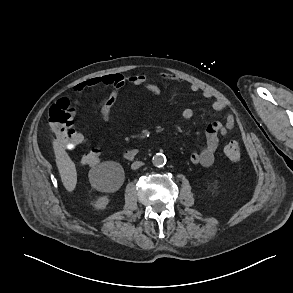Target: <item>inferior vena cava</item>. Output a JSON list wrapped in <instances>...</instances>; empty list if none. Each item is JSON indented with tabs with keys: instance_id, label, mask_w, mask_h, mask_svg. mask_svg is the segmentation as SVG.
I'll return each instance as SVG.
<instances>
[{
	"instance_id": "inferior-vena-cava-1",
	"label": "inferior vena cava",
	"mask_w": 293,
	"mask_h": 293,
	"mask_svg": "<svg viewBox=\"0 0 293 293\" xmlns=\"http://www.w3.org/2000/svg\"><path fill=\"white\" fill-rule=\"evenodd\" d=\"M142 165H143V162H141V161H135V162L132 163L131 168H132L133 170H136V169H138L139 167H141Z\"/></svg>"
}]
</instances>
